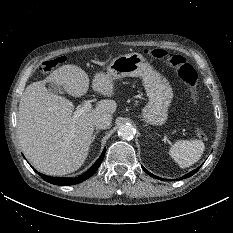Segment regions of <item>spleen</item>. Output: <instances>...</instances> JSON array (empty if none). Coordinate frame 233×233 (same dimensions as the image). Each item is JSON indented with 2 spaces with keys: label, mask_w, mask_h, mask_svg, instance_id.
Returning <instances> with one entry per match:
<instances>
[{
  "label": "spleen",
  "mask_w": 233,
  "mask_h": 233,
  "mask_svg": "<svg viewBox=\"0 0 233 233\" xmlns=\"http://www.w3.org/2000/svg\"><path fill=\"white\" fill-rule=\"evenodd\" d=\"M204 149L201 140H180L172 145L169 154L181 168H187L201 158Z\"/></svg>",
  "instance_id": "spleen-1"
}]
</instances>
